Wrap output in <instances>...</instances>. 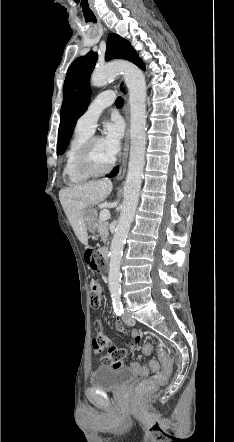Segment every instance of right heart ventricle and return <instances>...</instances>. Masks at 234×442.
<instances>
[{"instance_id": "1", "label": "right heart ventricle", "mask_w": 234, "mask_h": 442, "mask_svg": "<svg viewBox=\"0 0 234 442\" xmlns=\"http://www.w3.org/2000/svg\"><path fill=\"white\" fill-rule=\"evenodd\" d=\"M90 135L91 134L75 129L69 141V145L65 154L63 175L66 179V182L70 185H80L90 179V176L82 173L78 169L76 162L80 148L90 137Z\"/></svg>"}]
</instances>
